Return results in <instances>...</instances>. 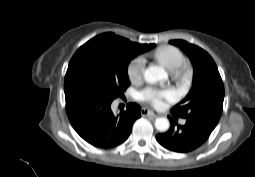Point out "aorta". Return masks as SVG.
Returning a JSON list of instances; mask_svg holds the SVG:
<instances>
[{
    "label": "aorta",
    "instance_id": "762f6f07",
    "mask_svg": "<svg viewBox=\"0 0 255 177\" xmlns=\"http://www.w3.org/2000/svg\"><path fill=\"white\" fill-rule=\"evenodd\" d=\"M167 73L162 67L150 66L144 72V78L149 83H156L167 79ZM170 127V122L167 118L161 117L155 120V128L160 132H166Z\"/></svg>",
    "mask_w": 255,
    "mask_h": 177
}]
</instances>
